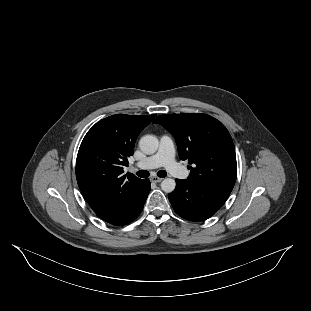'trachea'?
Masks as SVG:
<instances>
[{
	"instance_id": "obj_1",
	"label": "trachea",
	"mask_w": 311,
	"mask_h": 311,
	"mask_svg": "<svg viewBox=\"0 0 311 311\" xmlns=\"http://www.w3.org/2000/svg\"><path fill=\"white\" fill-rule=\"evenodd\" d=\"M136 175L138 177H141V178H147V177H149L150 173L147 170H139L138 172H136ZM157 175L160 178H164V177H166L167 172L165 170H160L157 172Z\"/></svg>"
}]
</instances>
